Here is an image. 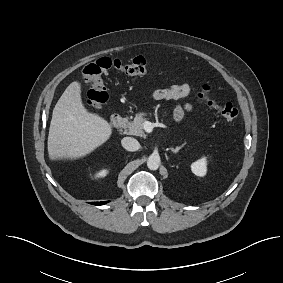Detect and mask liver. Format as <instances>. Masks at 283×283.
<instances>
[{"instance_id": "6515ba94", "label": "liver", "mask_w": 283, "mask_h": 283, "mask_svg": "<svg viewBox=\"0 0 283 283\" xmlns=\"http://www.w3.org/2000/svg\"><path fill=\"white\" fill-rule=\"evenodd\" d=\"M110 124L89 112L81 97V84L72 82L53 110L48 135L51 161L76 160L92 153L111 136Z\"/></svg>"}]
</instances>
